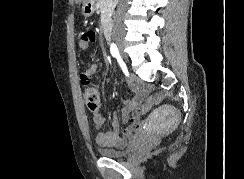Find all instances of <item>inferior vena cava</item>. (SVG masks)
<instances>
[{
    "label": "inferior vena cava",
    "instance_id": "1",
    "mask_svg": "<svg viewBox=\"0 0 244 179\" xmlns=\"http://www.w3.org/2000/svg\"><path fill=\"white\" fill-rule=\"evenodd\" d=\"M120 14H121V12H116L115 22H114L115 34H118V32H121V30H123Z\"/></svg>",
    "mask_w": 244,
    "mask_h": 179
}]
</instances>
